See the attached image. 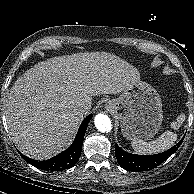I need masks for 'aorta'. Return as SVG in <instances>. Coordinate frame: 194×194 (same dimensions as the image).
Returning a JSON list of instances; mask_svg holds the SVG:
<instances>
[{
  "label": "aorta",
  "instance_id": "1",
  "mask_svg": "<svg viewBox=\"0 0 194 194\" xmlns=\"http://www.w3.org/2000/svg\"><path fill=\"white\" fill-rule=\"evenodd\" d=\"M94 124L100 132H109L112 129L110 118L105 114H98L94 118Z\"/></svg>",
  "mask_w": 194,
  "mask_h": 194
}]
</instances>
